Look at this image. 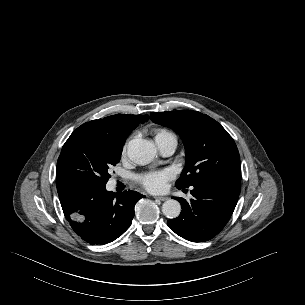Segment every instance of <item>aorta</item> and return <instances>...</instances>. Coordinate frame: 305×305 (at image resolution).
Returning a JSON list of instances; mask_svg holds the SVG:
<instances>
[{
  "mask_svg": "<svg viewBox=\"0 0 305 305\" xmlns=\"http://www.w3.org/2000/svg\"><path fill=\"white\" fill-rule=\"evenodd\" d=\"M127 154L129 159L138 165H146L150 163L157 154L155 145L145 139H133L127 146ZM163 214L174 219L180 215L181 205L177 200L168 199L162 205Z\"/></svg>",
  "mask_w": 305,
  "mask_h": 305,
  "instance_id": "1",
  "label": "aorta"
}]
</instances>
